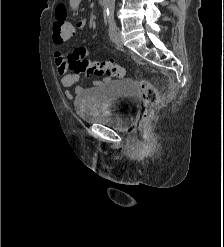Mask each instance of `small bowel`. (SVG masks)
Listing matches in <instances>:
<instances>
[{
	"label": "small bowel",
	"mask_w": 224,
	"mask_h": 247,
	"mask_svg": "<svg viewBox=\"0 0 224 247\" xmlns=\"http://www.w3.org/2000/svg\"><path fill=\"white\" fill-rule=\"evenodd\" d=\"M80 0H70L73 7L78 5ZM87 19L82 18L79 19L76 24H74L75 32L83 30L87 26ZM69 40H61L57 37L53 36V43L58 47V49L54 53V62L56 65L57 72L60 76V81L63 87L69 89L71 88L75 82L79 79V74L70 73L69 66L67 61V56L64 54L61 47ZM81 92L80 88H76L75 90H67L65 95L68 99H73L77 94Z\"/></svg>",
	"instance_id": "c3829d8e"
}]
</instances>
